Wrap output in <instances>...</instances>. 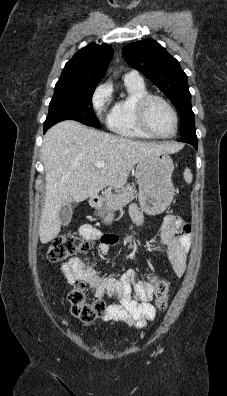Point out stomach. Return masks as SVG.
Instances as JSON below:
<instances>
[{
    "label": "stomach",
    "instance_id": "obj_1",
    "mask_svg": "<svg viewBox=\"0 0 227 396\" xmlns=\"http://www.w3.org/2000/svg\"><path fill=\"white\" fill-rule=\"evenodd\" d=\"M174 163L166 153L151 154L137 163L135 175L139 185L138 200L142 210L149 215L162 213L172 202ZM98 209L101 204L95 205ZM111 213L104 217L109 223Z\"/></svg>",
    "mask_w": 227,
    "mask_h": 396
}]
</instances>
